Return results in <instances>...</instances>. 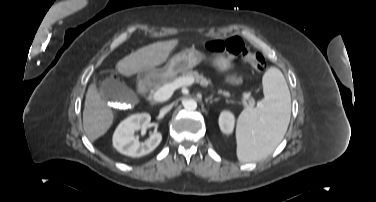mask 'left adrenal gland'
I'll return each instance as SVG.
<instances>
[{
	"label": "left adrenal gland",
	"mask_w": 376,
	"mask_h": 202,
	"mask_svg": "<svg viewBox=\"0 0 376 202\" xmlns=\"http://www.w3.org/2000/svg\"><path fill=\"white\" fill-rule=\"evenodd\" d=\"M205 101H206V103H208V101H210L212 103L213 100H212V97H208V98L205 99Z\"/></svg>",
	"instance_id": "1"
}]
</instances>
